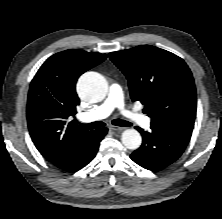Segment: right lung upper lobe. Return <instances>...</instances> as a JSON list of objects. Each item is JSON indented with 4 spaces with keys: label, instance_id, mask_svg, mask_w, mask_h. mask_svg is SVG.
Returning <instances> with one entry per match:
<instances>
[{
    "label": "right lung upper lobe",
    "instance_id": "right-lung-upper-lobe-1",
    "mask_svg": "<svg viewBox=\"0 0 222 219\" xmlns=\"http://www.w3.org/2000/svg\"><path fill=\"white\" fill-rule=\"evenodd\" d=\"M105 59V54L62 51L49 57L31 82L27 101L29 132L42 156L60 169L72 161L91 133L74 121L67 123L80 103L77 79Z\"/></svg>",
    "mask_w": 222,
    "mask_h": 219
}]
</instances>
